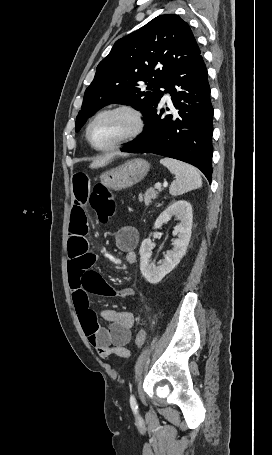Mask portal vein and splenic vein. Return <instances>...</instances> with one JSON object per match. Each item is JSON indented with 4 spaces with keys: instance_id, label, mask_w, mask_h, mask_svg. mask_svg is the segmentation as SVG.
<instances>
[{
    "instance_id": "portal-vein-and-splenic-vein-1",
    "label": "portal vein and splenic vein",
    "mask_w": 272,
    "mask_h": 455,
    "mask_svg": "<svg viewBox=\"0 0 272 455\" xmlns=\"http://www.w3.org/2000/svg\"><path fill=\"white\" fill-rule=\"evenodd\" d=\"M155 188H156V189H161V184H160V183H156V184H155Z\"/></svg>"
}]
</instances>
